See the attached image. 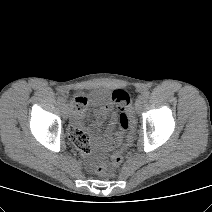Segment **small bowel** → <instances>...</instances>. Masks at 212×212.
<instances>
[{
	"mask_svg": "<svg viewBox=\"0 0 212 212\" xmlns=\"http://www.w3.org/2000/svg\"><path fill=\"white\" fill-rule=\"evenodd\" d=\"M79 98L85 102L86 108L88 100L84 97ZM91 101L97 106V109L94 112L95 120L89 126L88 130L90 133L96 134L103 122L110 116V122L107 126L106 133L100 138L97 146L104 150L113 149L121 143L122 137L114 132L116 115L112 113V106L107 101V93L104 91H96L92 94ZM85 108L82 111H75L69 136L72 140L76 139L85 144L87 150L84 152H88L90 150V141L87 133L83 129Z\"/></svg>",
	"mask_w": 212,
	"mask_h": 212,
	"instance_id": "c3829d8e",
	"label": "small bowel"
}]
</instances>
